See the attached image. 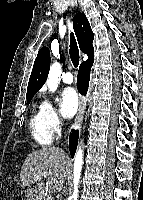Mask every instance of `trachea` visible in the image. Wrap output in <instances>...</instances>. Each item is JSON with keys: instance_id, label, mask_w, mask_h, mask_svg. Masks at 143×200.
I'll use <instances>...</instances> for the list:
<instances>
[{"instance_id": "3493384b", "label": "trachea", "mask_w": 143, "mask_h": 200, "mask_svg": "<svg viewBox=\"0 0 143 200\" xmlns=\"http://www.w3.org/2000/svg\"><path fill=\"white\" fill-rule=\"evenodd\" d=\"M70 58L71 61L74 65V67H77L79 65V50H78V46L76 43V40L74 38L73 33H71V37H70Z\"/></svg>"}]
</instances>
